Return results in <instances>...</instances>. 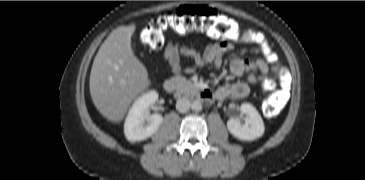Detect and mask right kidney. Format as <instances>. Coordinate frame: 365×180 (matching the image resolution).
<instances>
[{"mask_svg": "<svg viewBox=\"0 0 365 180\" xmlns=\"http://www.w3.org/2000/svg\"><path fill=\"white\" fill-rule=\"evenodd\" d=\"M157 100L158 93L150 91L133 103L124 124V133L129 141L145 140L158 130L163 122L162 115L149 113L150 107Z\"/></svg>", "mask_w": 365, "mask_h": 180, "instance_id": "ca27d5eb", "label": "right kidney"}]
</instances>
